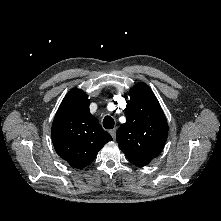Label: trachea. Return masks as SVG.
<instances>
[{"instance_id": "1", "label": "trachea", "mask_w": 221, "mask_h": 221, "mask_svg": "<svg viewBox=\"0 0 221 221\" xmlns=\"http://www.w3.org/2000/svg\"><path fill=\"white\" fill-rule=\"evenodd\" d=\"M115 125L114 119L110 116H106L103 119V126L105 129H112Z\"/></svg>"}]
</instances>
